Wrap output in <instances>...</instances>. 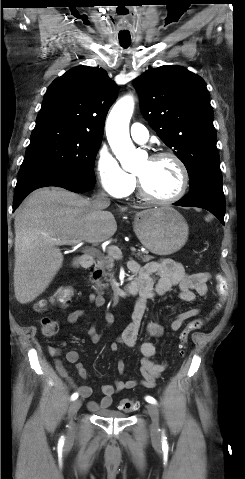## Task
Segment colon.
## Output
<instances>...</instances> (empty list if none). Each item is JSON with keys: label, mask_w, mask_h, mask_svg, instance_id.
<instances>
[{"label": "colon", "mask_w": 245, "mask_h": 479, "mask_svg": "<svg viewBox=\"0 0 245 479\" xmlns=\"http://www.w3.org/2000/svg\"><path fill=\"white\" fill-rule=\"evenodd\" d=\"M216 292L219 296V301L216 303L214 310L211 315H214L218 310H220L228 296L227 287L223 279L219 278L216 285ZM74 297V292L71 286L62 285L57 288L54 294L49 299H41L36 304V310L43 312L49 308H67L71 305ZM209 320V317L197 318L189 323L183 328L179 335V347L181 354L184 353V349L188 344L189 337L191 333L201 329ZM42 333L46 336L55 335L59 330V323L57 320L44 317L41 320ZM119 409L123 412H132L138 407V402L132 399H122L119 402Z\"/></svg>", "instance_id": "1"}]
</instances>
